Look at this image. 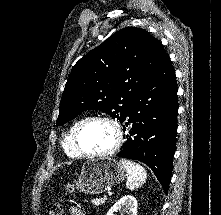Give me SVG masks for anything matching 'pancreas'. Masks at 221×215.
<instances>
[{
    "instance_id": "obj_1",
    "label": "pancreas",
    "mask_w": 221,
    "mask_h": 215,
    "mask_svg": "<svg viewBox=\"0 0 221 215\" xmlns=\"http://www.w3.org/2000/svg\"><path fill=\"white\" fill-rule=\"evenodd\" d=\"M106 202V200H104V198H95L93 200H91V203L95 206H100L102 204H104Z\"/></svg>"
}]
</instances>
